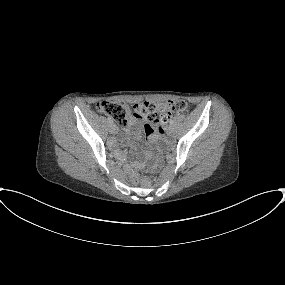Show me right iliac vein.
<instances>
[{
    "mask_svg": "<svg viewBox=\"0 0 285 285\" xmlns=\"http://www.w3.org/2000/svg\"><path fill=\"white\" fill-rule=\"evenodd\" d=\"M117 131H118L117 126L115 124H113V123H110L109 124V132L111 134H115Z\"/></svg>",
    "mask_w": 285,
    "mask_h": 285,
    "instance_id": "obj_1",
    "label": "right iliac vein"
}]
</instances>
